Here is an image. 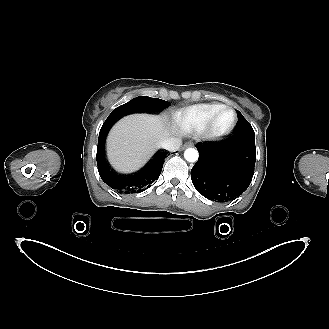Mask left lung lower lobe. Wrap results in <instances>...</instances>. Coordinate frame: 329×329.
<instances>
[{"mask_svg":"<svg viewBox=\"0 0 329 329\" xmlns=\"http://www.w3.org/2000/svg\"><path fill=\"white\" fill-rule=\"evenodd\" d=\"M196 147L199 159L191 170V179L200 194L228 202L249 187L256 161L254 133H237Z\"/></svg>","mask_w":329,"mask_h":329,"instance_id":"left-lung-lower-lobe-1","label":"left lung lower lobe"}]
</instances>
